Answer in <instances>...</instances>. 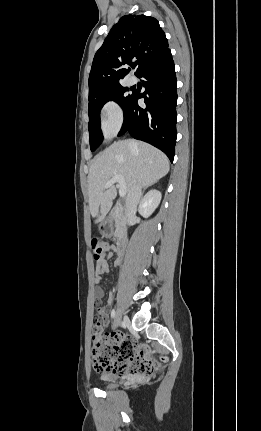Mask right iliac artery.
<instances>
[{
  "label": "right iliac artery",
  "mask_w": 261,
  "mask_h": 431,
  "mask_svg": "<svg viewBox=\"0 0 261 431\" xmlns=\"http://www.w3.org/2000/svg\"><path fill=\"white\" fill-rule=\"evenodd\" d=\"M115 315H116V312H115V309H113V310L111 311V318L113 319V318L115 317Z\"/></svg>",
  "instance_id": "right-iliac-artery-1"
}]
</instances>
